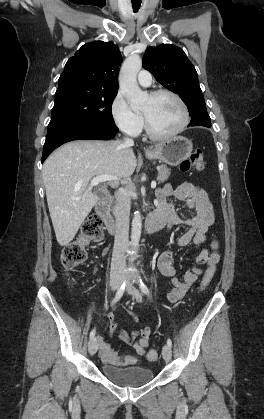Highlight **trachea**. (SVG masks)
Instances as JSON below:
<instances>
[{
  "label": "trachea",
  "instance_id": "1",
  "mask_svg": "<svg viewBox=\"0 0 264 419\" xmlns=\"http://www.w3.org/2000/svg\"><path fill=\"white\" fill-rule=\"evenodd\" d=\"M140 5H141L140 3H138V4L132 3V7H133L134 12H137L139 10Z\"/></svg>",
  "mask_w": 264,
  "mask_h": 419
}]
</instances>
